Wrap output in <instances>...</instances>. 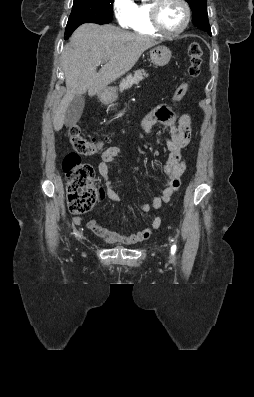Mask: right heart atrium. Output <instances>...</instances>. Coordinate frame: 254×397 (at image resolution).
<instances>
[{
	"instance_id": "1",
	"label": "right heart atrium",
	"mask_w": 254,
	"mask_h": 397,
	"mask_svg": "<svg viewBox=\"0 0 254 397\" xmlns=\"http://www.w3.org/2000/svg\"><path fill=\"white\" fill-rule=\"evenodd\" d=\"M133 0H113L112 8L118 24L128 28L133 15Z\"/></svg>"
}]
</instances>
